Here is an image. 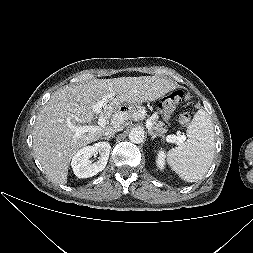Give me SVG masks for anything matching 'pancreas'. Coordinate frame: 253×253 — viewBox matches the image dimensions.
<instances>
[{"label":"pancreas","instance_id":"1","mask_svg":"<svg viewBox=\"0 0 253 253\" xmlns=\"http://www.w3.org/2000/svg\"><path fill=\"white\" fill-rule=\"evenodd\" d=\"M152 130L158 135L164 137V134L167 132L166 126L163 122L152 119Z\"/></svg>","mask_w":253,"mask_h":253}]
</instances>
